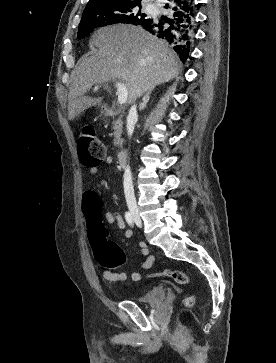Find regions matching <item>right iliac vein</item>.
Returning a JSON list of instances; mask_svg holds the SVG:
<instances>
[{"label": "right iliac vein", "mask_w": 276, "mask_h": 363, "mask_svg": "<svg viewBox=\"0 0 276 363\" xmlns=\"http://www.w3.org/2000/svg\"><path fill=\"white\" fill-rule=\"evenodd\" d=\"M129 211H130V214H131V215H132V217H133V220H134L135 224H136L138 227H141L142 222H141V218H140V215H139V211H138L137 206H135V205H130V206H129Z\"/></svg>", "instance_id": "1"}]
</instances>
